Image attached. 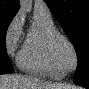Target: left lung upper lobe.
<instances>
[{"label":"left lung upper lobe","mask_w":89,"mask_h":89,"mask_svg":"<svg viewBox=\"0 0 89 89\" xmlns=\"http://www.w3.org/2000/svg\"><path fill=\"white\" fill-rule=\"evenodd\" d=\"M71 40L78 66L74 81L89 80V0H44Z\"/></svg>","instance_id":"left-lung-upper-lobe-1"}]
</instances>
